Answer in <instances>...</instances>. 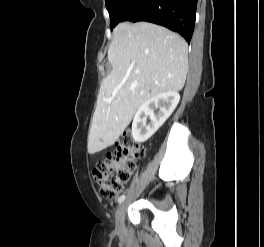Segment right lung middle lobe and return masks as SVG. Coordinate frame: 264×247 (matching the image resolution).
Listing matches in <instances>:
<instances>
[{"label":"right lung middle lobe","mask_w":264,"mask_h":247,"mask_svg":"<svg viewBox=\"0 0 264 247\" xmlns=\"http://www.w3.org/2000/svg\"><path fill=\"white\" fill-rule=\"evenodd\" d=\"M132 0H105L106 8L110 15V28L119 23V17Z\"/></svg>","instance_id":"obj_1"}]
</instances>
